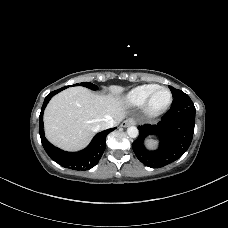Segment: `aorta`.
<instances>
[{"instance_id": "obj_1", "label": "aorta", "mask_w": 228, "mask_h": 228, "mask_svg": "<svg viewBox=\"0 0 228 228\" xmlns=\"http://www.w3.org/2000/svg\"><path fill=\"white\" fill-rule=\"evenodd\" d=\"M127 134L130 138H136L139 134V131H138L137 127L130 126L127 128Z\"/></svg>"}]
</instances>
